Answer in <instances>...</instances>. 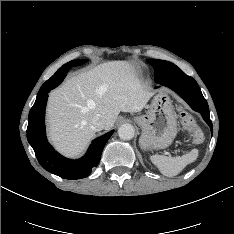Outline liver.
<instances>
[{
	"instance_id": "liver-1",
	"label": "liver",
	"mask_w": 234,
	"mask_h": 234,
	"mask_svg": "<svg viewBox=\"0 0 234 234\" xmlns=\"http://www.w3.org/2000/svg\"><path fill=\"white\" fill-rule=\"evenodd\" d=\"M152 95L127 62H107L84 71L50 93V141L64 155L77 156L95 135L91 128L95 115L111 129L120 112L141 111Z\"/></svg>"
}]
</instances>
